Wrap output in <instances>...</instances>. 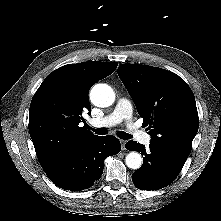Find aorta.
<instances>
[{"label": "aorta", "mask_w": 221, "mask_h": 221, "mask_svg": "<svg viewBox=\"0 0 221 221\" xmlns=\"http://www.w3.org/2000/svg\"><path fill=\"white\" fill-rule=\"evenodd\" d=\"M91 102L98 107H109L115 100L113 89L107 84H96L90 92ZM125 162L130 169H139L142 165V157L137 152H130L125 158Z\"/></svg>", "instance_id": "762f6f07"}]
</instances>
